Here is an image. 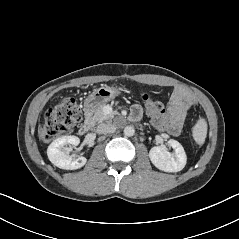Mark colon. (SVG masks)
I'll return each instance as SVG.
<instances>
[{
	"mask_svg": "<svg viewBox=\"0 0 239 239\" xmlns=\"http://www.w3.org/2000/svg\"><path fill=\"white\" fill-rule=\"evenodd\" d=\"M141 98L145 103L147 119L151 127L158 132H169L170 117L164 111L163 105L154 101L148 93H142ZM82 119V112L73 98H66L57 105L49 108L39 129L42 140L50 141L57 136L68 132Z\"/></svg>",
	"mask_w": 239,
	"mask_h": 239,
	"instance_id": "obj_1",
	"label": "colon"
}]
</instances>
